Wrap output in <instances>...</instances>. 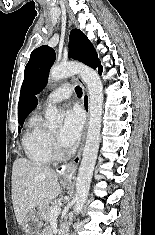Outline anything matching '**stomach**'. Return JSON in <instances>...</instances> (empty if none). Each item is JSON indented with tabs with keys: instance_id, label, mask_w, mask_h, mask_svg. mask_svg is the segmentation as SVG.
<instances>
[{
	"instance_id": "1",
	"label": "stomach",
	"mask_w": 155,
	"mask_h": 235,
	"mask_svg": "<svg viewBox=\"0 0 155 235\" xmlns=\"http://www.w3.org/2000/svg\"><path fill=\"white\" fill-rule=\"evenodd\" d=\"M42 208L32 210L25 218L22 224V231L24 235H36L40 232L43 226Z\"/></svg>"
}]
</instances>
